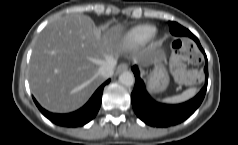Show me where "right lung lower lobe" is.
Here are the masks:
<instances>
[{"label": "right lung lower lobe", "instance_id": "right-lung-lower-lobe-1", "mask_svg": "<svg viewBox=\"0 0 238 145\" xmlns=\"http://www.w3.org/2000/svg\"><path fill=\"white\" fill-rule=\"evenodd\" d=\"M110 80L103 83L92 95L90 100L79 110L69 114H55L43 109L33 97V100L41 113L52 123L63 127H80L91 121L97 114L102 99L103 88Z\"/></svg>", "mask_w": 238, "mask_h": 145}]
</instances>
